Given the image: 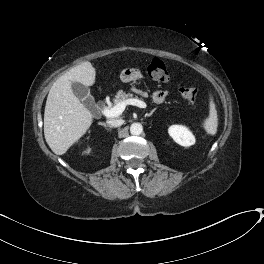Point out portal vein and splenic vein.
Returning <instances> with one entry per match:
<instances>
[{
  "label": "portal vein and splenic vein",
  "mask_w": 264,
  "mask_h": 264,
  "mask_svg": "<svg viewBox=\"0 0 264 264\" xmlns=\"http://www.w3.org/2000/svg\"><path fill=\"white\" fill-rule=\"evenodd\" d=\"M127 105H133V106H138L140 108H146V103L138 100V99H128L126 101H122L120 103H117L113 107H105L103 109V114L106 117H117L123 113Z\"/></svg>",
  "instance_id": "1"
}]
</instances>
